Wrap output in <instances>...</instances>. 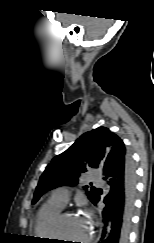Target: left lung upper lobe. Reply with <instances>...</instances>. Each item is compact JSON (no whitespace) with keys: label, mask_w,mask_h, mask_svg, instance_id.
<instances>
[{"label":"left lung upper lobe","mask_w":154,"mask_h":243,"mask_svg":"<svg viewBox=\"0 0 154 243\" xmlns=\"http://www.w3.org/2000/svg\"><path fill=\"white\" fill-rule=\"evenodd\" d=\"M122 140L106 127H98L84 133L74 144L60 155L53 158L39 179L32 204L47 190L63 185H76L81 173L88 168L103 167L107 157L124 150ZM92 202L98 189L83 187Z\"/></svg>","instance_id":"obj_1"}]
</instances>
